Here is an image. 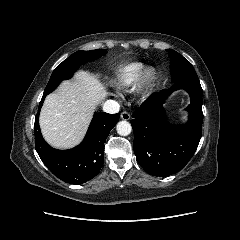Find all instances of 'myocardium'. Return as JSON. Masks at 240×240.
<instances>
[{
	"instance_id": "1",
	"label": "myocardium",
	"mask_w": 240,
	"mask_h": 240,
	"mask_svg": "<svg viewBox=\"0 0 240 240\" xmlns=\"http://www.w3.org/2000/svg\"><path fill=\"white\" fill-rule=\"evenodd\" d=\"M156 77L157 73L153 67L149 66L144 68L137 79L135 95L138 98H145L152 88Z\"/></svg>"
}]
</instances>
